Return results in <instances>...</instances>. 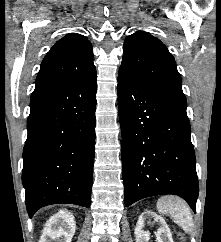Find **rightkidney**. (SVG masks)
Instances as JSON below:
<instances>
[{
    "label": "right kidney",
    "instance_id": "1",
    "mask_svg": "<svg viewBox=\"0 0 221 242\" xmlns=\"http://www.w3.org/2000/svg\"><path fill=\"white\" fill-rule=\"evenodd\" d=\"M76 223L74 216L68 210H60L45 224V242H71L75 234Z\"/></svg>",
    "mask_w": 221,
    "mask_h": 242
}]
</instances>
